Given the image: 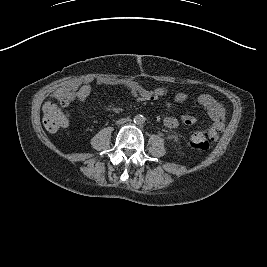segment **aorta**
I'll list each match as a JSON object with an SVG mask.
<instances>
[{"mask_svg":"<svg viewBox=\"0 0 267 267\" xmlns=\"http://www.w3.org/2000/svg\"><path fill=\"white\" fill-rule=\"evenodd\" d=\"M134 122L136 124H143L145 122V118L143 116H141V115H137L134 118Z\"/></svg>","mask_w":267,"mask_h":267,"instance_id":"obj_1","label":"aorta"}]
</instances>
